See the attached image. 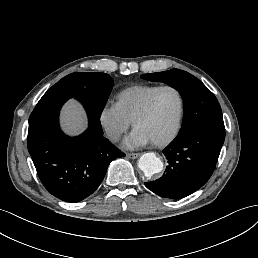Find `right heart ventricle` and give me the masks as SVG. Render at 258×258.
Masks as SVG:
<instances>
[{"mask_svg":"<svg viewBox=\"0 0 258 258\" xmlns=\"http://www.w3.org/2000/svg\"><path fill=\"white\" fill-rule=\"evenodd\" d=\"M158 87L159 86L152 84L133 85L127 87L118 93L115 105L130 124H134L135 120L143 110L148 97Z\"/></svg>","mask_w":258,"mask_h":258,"instance_id":"obj_1","label":"right heart ventricle"}]
</instances>
